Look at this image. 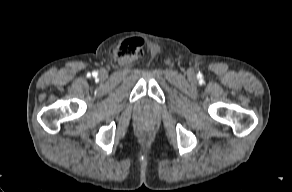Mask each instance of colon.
<instances>
[{
  "label": "colon",
  "mask_w": 292,
  "mask_h": 192,
  "mask_svg": "<svg viewBox=\"0 0 292 192\" xmlns=\"http://www.w3.org/2000/svg\"><path fill=\"white\" fill-rule=\"evenodd\" d=\"M142 42L138 39L129 40L123 43L119 49V55L135 54L138 53L141 48Z\"/></svg>",
  "instance_id": "colon-1"
}]
</instances>
